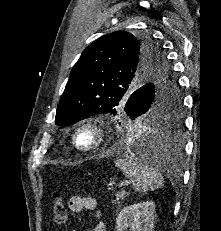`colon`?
<instances>
[{
    "label": "colon",
    "mask_w": 221,
    "mask_h": 231,
    "mask_svg": "<svg viewBox=\"0 0 221 231\" xmlns=\"http://www.w3.org/2000/svg\"><path fill=\"white\" fill-rule=\"evenodd\" d=\"M67 212L63 201V191L59 190L54 193L53 201V221L55 224H63L66 221Z\"/></svg>",
    "instance_id": "colon-1"
}]
</instances>
